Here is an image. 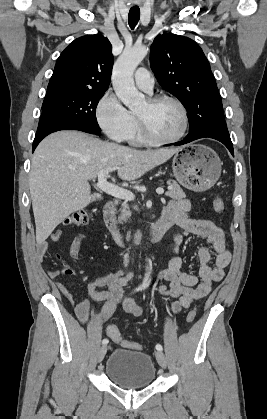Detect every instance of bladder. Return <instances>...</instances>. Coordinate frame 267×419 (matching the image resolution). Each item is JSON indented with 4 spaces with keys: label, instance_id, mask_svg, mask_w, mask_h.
<instances>
[{
    "label": "bladder",
    "instance_id": "1",
    "mask_svg": "<svg viewBox=\"0 0 267 419\" xmlns=\"http://www.w3.org/2000/svg\"><path fill=\"white\" fill-rule=\"evenodd\" d=\"M105 374L117 386L141 388L154 382L156 367L152 357L146 353L117 348L107 359Z\"/></svg>",
    "mask_w": 267,
    "mask_h": 419
}]
</instances>
